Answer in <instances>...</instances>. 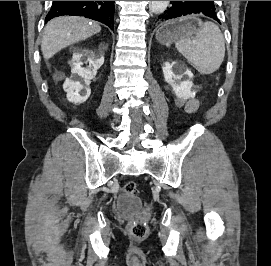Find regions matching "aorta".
Wrapping results in <instances>:
<instances>
[{"mask_svg": "<svg viewBox=\"0 0 271 266\" xmlns=\"http://www.w3.org/2000/svg\"><path fill=\"white\" fill-rule=\"evenodd\" d=\"M169 2L170 1H151L152 12H154L155 14L163 13L167 9Z\"/></svg>", "mask_w": 271, "mask_h": 266, "instance_id": "1", "label": "aorta"}]
</instances>
